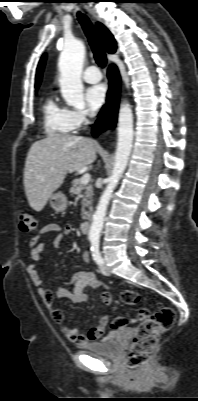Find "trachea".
I'll return each mask as SVG.
<instances>
[{
	"instance_id": "1",
	"label": "trachea",
	"mask_w": 198,
	"mask_h": 401,
	"mask_svg": "<svg viewBox=\"0 0 198 401\" xmlns=\"http://www.w3.org/2000/svg\"><path fill=\"white\" fill-rule=\"evenodd\" d=\"M77 17L85 32L86 37L88 38L96 63L100 67H105L107 63V58L98 33L96 32L94 26L86 15L78 12Z\"/></svg>"
}]
</instances>
